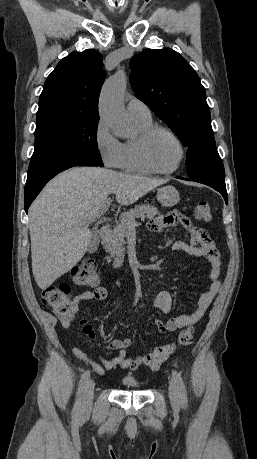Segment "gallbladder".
<instances>
[{
    "instance_id": "obj_1",
    "label": "gallbladder",
    "mask_w": 257,
    "mask_h": 459,
    "mask_svg": "<svg viewBox=\"0 0 257 459\" xmlns=\"http://www.w3.org/2000/svg\"><path fill=\"white\" fill-rule=\"evenodd\" d=\"M98 245H99V235L97 233H93L91 241L88 245L87 251L89 253L95 252L98 249Z\"/></svg>"
}]
</instances>
